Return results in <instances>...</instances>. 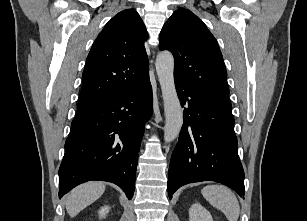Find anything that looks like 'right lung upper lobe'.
<instances>
[{"label": "right lung upper lobe", "mask_w": 307, "mask_h": 221, "mask_svg": "<svg viewBox=\"0 0 307 221\" xmlns=\"http://www.w3.org/2000/svg\"><path fill=\"white\" fill-rule=\"evenodd\" d=\"M146 38L145 25L133 9L121 11L106 24L87 57L79 109L136 89L145 82L149 77Z\"/></svg>", "instance_id": "obj_1"}]
</instances>
